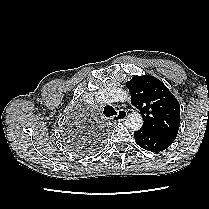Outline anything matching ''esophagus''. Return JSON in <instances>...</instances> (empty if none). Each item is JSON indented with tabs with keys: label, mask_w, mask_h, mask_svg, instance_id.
I'll return each mask as SVG.
<instances>
[{
	"label": "esophagus",
	"mask_w": 209,
	"mask_h": 209,
	"mask_svg": "<svg viewBox=\"0 0 209 209\" xmlns=\"http://www.w3.org/2000/svg\"><path fill=\"white\" fill-rule=\"evenodd\" d=\"M127 117V112L124 109H119L118 113L111 119L113 122L123 121Z\"/></svg>",
	"instance_id": "obj_1"
}]
</instances>
